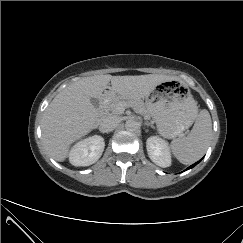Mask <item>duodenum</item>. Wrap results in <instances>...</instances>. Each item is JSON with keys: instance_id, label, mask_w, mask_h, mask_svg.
<instances>
[{"instance_id": "1", "label": "duodenum", "mask_w": 243, "mask_h": 243, "mask_svg": "<svg viewBox=\"0 0 243 243\" xmlns=\"http://www.w3.org/2000/svg\"><path fill=\"white\" fill-rule=\"evenodd\" d=\"M111 90L107 89L105 90L102 95H101V100H100V112L103 114L105 112L106 106L111 98Z\"/></svg>"}]
</instances>
